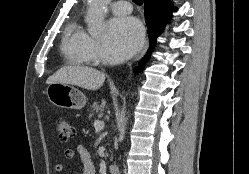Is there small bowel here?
Instances as JSON below:
<instances>
[{
	"label": "small bowel",
	"instance_id": "1",
	"mask_svg": "<svg viewBox=\"0 0 249 174\" xmlns=\"http://www.w3.org/2000/svg\"><path fill=\"white\" fill-rule=\"evenodd\" d=\"M76 154L80 157L83 174H95V166L88 150L84 146L78 145L75 149L70 148L65 151V157L69 160L73 159ZM55 169L58 173H61L65 170V166L64 164H57Z\"/></svg>",
	"mask_w": 249,
	"mask_h": 174
}]
</instances>
